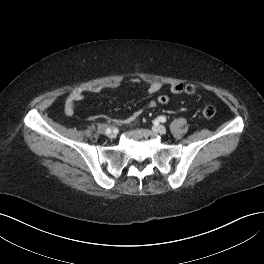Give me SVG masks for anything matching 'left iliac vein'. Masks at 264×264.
Listing matches in <instances>:
<instances>
[{"label":"left iliac vein","instance_id":"4c4485c4","mask_svg":"<svg viewBox=\"0 0 264 264\" xmlns=\"http://www.w3.org/2000/svg\"><path fill=\"white\" fill-rule=\"evenodd\" d=\"M154 130L161 134H164L166 132V128L163 125L154 126Z\"/></svg>","mask_w":264,"mask_h":264}]
</instances>
